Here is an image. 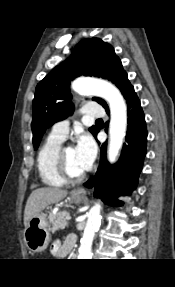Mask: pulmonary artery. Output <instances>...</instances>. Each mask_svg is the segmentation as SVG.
Returning <instances> with one entry per match:
<instances>
[{"label": "pulmonary artery", "instance_id": "obj_1", "mask_svg": "<svg viewBox=\"0 0 175 287\" xmlns=\"http://www.w3.org/2000/svg\"><path fill=\"white\" fill-rule=\"evenodd\" d=\"M86 116L100 117L104 115V109L99 104H86L82 109ZM69 131V121L63 120L53 125L51 135L64 140Z\"/></svg>", "mask_w": 175, "mask_h": 287}]
</instances>
